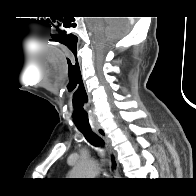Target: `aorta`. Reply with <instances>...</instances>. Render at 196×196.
<instances>
[{"mask_svg": "<svg viewBox=\"0 0 196 196\" xmlns=\"http://www.w3.org/2000/svg\"><path fill=\"white\" fill-rule=\"evenodd\" d=\"M100 168L98 164L92 160H81L71 171L72 178H90L97 175Z\"/></svg>", "mask_w": 196, "mask_h": 196, "instance_id": "aorta-1", "label": "aorta"}]
</instances>
